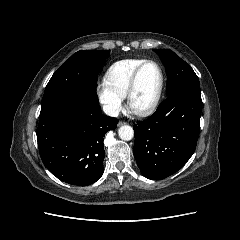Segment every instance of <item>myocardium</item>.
Returning a JSON list of instances; mask_svg holds the SVG:
<instances>
[{"label":"myocardium","instance_id":"obj_1","mask_svg":"<svg viewBox=\"0 0 240 240\" xmlns=\"http://www.w3.org/2000/svg\"><path fill=\"white\" fill-rule=\"evenodd\" d=\"M148 64H153L154 66H156L158 73H159V84H158L157 90H156L155 95H154L153 99L151 100V102L148 105H146L145 107L137 108L133 105V95H134L136 87H137L139 75H140L142 69ZM163 88H164V72H163L161 65L154 60H144L135 69V71L133 72V74L130 78L129 85L127 88V93H126V100H127L128 108L136 115H139V116L149 115L158 106L159 101L162 96Z\"/></svg>","mask_w":240,"mask_h":240}]
</instances>
